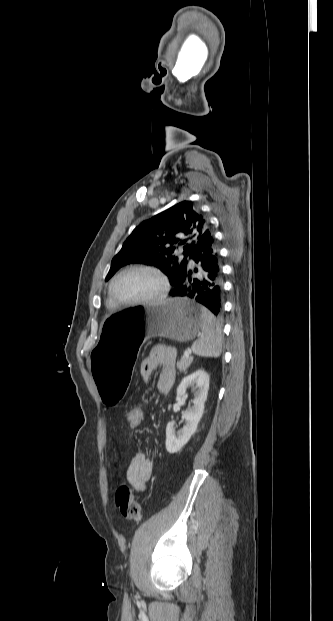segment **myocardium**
I'll list each match as a JSON object with an SVG mask.
<instances>
[{"label":"myocardium","instance_id":"1","mask_svg":"<svg viewBox=\"0 0 333 621\" xmlns=\"http://www.w3.org/2000/svg\"><path fill=\"white\" fill-rule=\"evenodd\" d=\"M132 271H147V272H150L156 275L162 285L161 291L157 295L150 297V298H146V299H139V300H133V301L120 300L114 293L115 282L124 274L132 272ZM169 290H170V283H169L167 276L164 274V272L160 270L158 267L153 266V265H148V264H136V265H132V266L122 269L119 273H117L113 277L108 287L109 297L111 298L113 303L116 306H122V307L148 305V304H155V303L161 302L167 297Z\"/></svg>","mask_w":333,"mask_h":621}]
</instances>
